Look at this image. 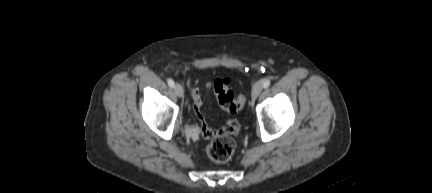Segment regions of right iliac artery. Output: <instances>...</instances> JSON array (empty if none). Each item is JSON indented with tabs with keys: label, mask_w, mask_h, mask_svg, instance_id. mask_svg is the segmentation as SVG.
Returning a JSON list of instances; mask_svg holds the SVG:
<instances>
[{
	"label": "right iliac artery",
	"mask_w": 432,
	"mask_h": 193,
	"mask_svg": "<svg viewBox=\"0 0 432 193\" xmlns=\"http://www.w3.org/2000/svg\"><path fill=\"white\" fill-rule=\"evenodd\" d=\"M167 82H168V85H169L171 88L174 87V81H173L171 78H169Z\"/></svg>",
	"instance_id": "1"
}]
</instances>
